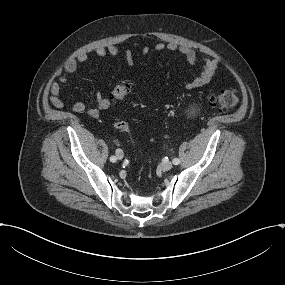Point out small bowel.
I'll list each match as a JSON object with an SVG mask.
<instances>
[{
    "instance_id": "c3829d8e",
    "label": "small bowel",
    "mask_w": 285,
    "mask_h": 285,
    "mask_svg": "<svg viewBox=\"0 0 285 285\" xmlns=\"http://www.w3.org/2000/svg\"><path fill=\"white\" fill-rule=\"evenodd\" d=\"M150 49L148 47L143 48L142 55H147ZM154 51H168L172 53H178L186 59L190 65H196L197 63L201 66V72L185 82L187 89H196L205 84H208L216 75L219 60L216 58H203L198 59L196 52L187 46H178L175 43H158L154 47ZM95 54L101 58L110 56L115 58L119 55L120 51L116 45L100 46L94 50ZM125 60L128 65H132L134 62L133 52L130 49L125 50ZM88 60L87 53H80L77 56L67 59L64 64L56 71L55 79L50 85V96L49 101L57 108H64L67 103L61 97V84L67 82V78L70 74L74 73L80 66L84 65ZM111 100L105 97L103 94L98 93L96 95V107L87 108V106L77 101L71 105L72 111L76 113H87L92 117H98L101 110L109 108Z\"/></svg>"
}]
</instances>
